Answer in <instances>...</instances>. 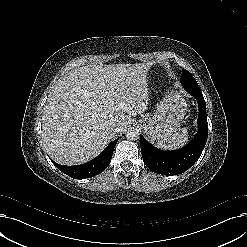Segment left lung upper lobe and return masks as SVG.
<instances>
[{
  "mask_svg": "<svg viewBox=\"0 0 247 247\" xmlns=\"http://www.w3.org/2000/svg\"><path fill=\"white\" fill-rule=\"evenodd\" d=\"M181 83L182 85H198L194 77L189 73L187 70L183 69L182 70V75H181Z\"/></svg>",
  "mask_w": 247,
  "mask_h": 247,
  "instance_id": "1",
  "label": "left lung upper lobe"
}]
</instances>
